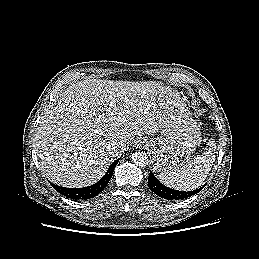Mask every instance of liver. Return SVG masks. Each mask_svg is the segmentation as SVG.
<instances>
[{"label": "liver", "instance_id": "1", "mask_svg": "<svg viewBox=\"0 0 259 259\" xmlns=\"http://www.w3.org/2000/svg\"><path fill=\"white\" fill-rule=\"evenodd\" d=\"M164 87L158 82L82 80L44 111L36 130L42 172L53 183L80 188L96 183L135 136L160 128ZM122 143L123 149H112Z\"/></svg>", "mask_w": 259, "mask_h": 259}]
</instances>
